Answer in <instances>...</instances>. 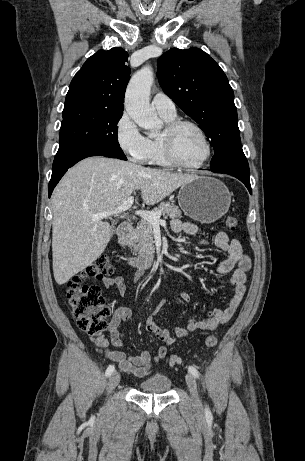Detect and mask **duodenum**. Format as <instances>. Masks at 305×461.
Returning a JSON list of instances; mask_svg holds the SVG:
<instances>
[{
	"label": "duodenum",
	"instance_id": "duodenum-1",
	"mask_svg": "<svg viewBox=\"0 0 305 461\" xmlns=\"http://www.w3.org/2000/svg\"><path fill=\"white\" fill-rule=\"evenodd\" d=\"M132 224L129 221H125L118 227L116 242L119 246H123L131 233ZM154 254H145L142 256L132 257L125 256L124 261L127 265L132 268L146 270L154 264Z\"/></svg>",
	"mask_w": 305,
	"mask_h": 461
}]
</instances>
